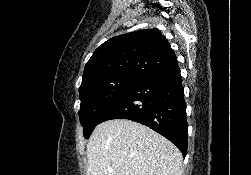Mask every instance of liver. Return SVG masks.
<instances>
[{"mask_svg": "<svg viewBox=\"0 0 251 175\" xmlns=\"http://www.w3.org/2000/svg\"><path fill=\"white\" fill-rule=\"evenodd\" d=\"M86 155V175H182L178 147L131 119H108L96 125Z\"/></svg>", "mask_w": 251, "mask_h": 175, "instance_id": "liver-1", "label": "liver"}]
</instances>
